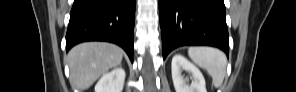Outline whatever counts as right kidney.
<instances>
[{
	"label": "right kidney",
	"instance_id": "obj_1",
	"mask_svg": "<svg viewBox=\"0 0 296 92\" xmlns=\"http://www.w3.org/2000/svg\"><path fill=\"white\" fill-rule=\"evenodd\" d=\"M125 71L122 67H117L111 72L104 74L95 85V92H122Z\"/></svg>",
	"mask_w": 296,
	"mask_h": 92
}]
</instances>
